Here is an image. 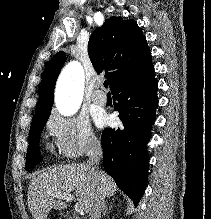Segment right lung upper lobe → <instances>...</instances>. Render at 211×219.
<instances>
[{
  "mask_svg": "<svg viewBox=\"0 0 211 219\" xmlns=\"http://www.w3.org/2000/svg\"><path fill=\"white\" fill-rule=\"evenodd\" d=\"M88 55L96 72H105L110 88L120 78L138 70L151 59L146 39L136 21L123 20L122 17L106 19L92 33L88 43ZM65 60L66 55L58 52L47 64L35 116L51 112L56 80Z\"/></svg>",
  "mask_w": 211,
  "mask_h": 219,
  "instance_id": "1",
  "label": "right lung upper lobe"
}]
</instances>
